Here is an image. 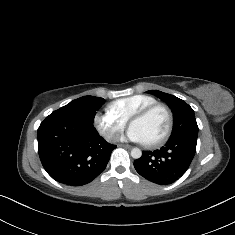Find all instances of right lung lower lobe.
I'll use <instances>...</instances> for the list:
<instances>
[{
    "instance_id": "obj_1",
    "label": "right lung lower lobe",
    "mask_w": 235,
    "mask_h": 235,
    "mask_svg": "<svg viewBox=\"0 0 235 235\" xmlns=\"http://www.w3.org/2000/svg\"><path fill=\"white\" fill-rule=\"evenodd\" d=\"M116 145L106 142L93 123L52 112L38 128V152L46 172L56 181L81 186L107 166Z\"/></svg>"
}]
</instances>
